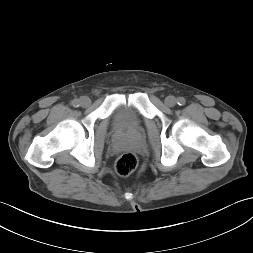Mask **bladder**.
<instances>
[{
	"mask_svg": "<svg viewBox=\"0 0 253 253\" xmlns=\"http://www.w3.org/2000/svg\"><path fill=\"white\" fill-rule=\"evenodd\" d=\"M113 125L120 132H134L140 127L141 122L132 110L121 107L113 116Z\"/></svg>",
	"mask_w": 253,
	"mask_h": 253,
	"instance_id": "1",
	"label": "bladder"
}]
</instances>
